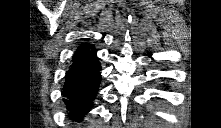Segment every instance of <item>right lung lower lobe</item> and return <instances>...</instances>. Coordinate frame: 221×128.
<instances>
[{
    "mask_svg": "<svg viewBox=\"0 0 221 128\" xmlns=\"http://www.w3.org/2000/svg\"><path fill=\"white\" fill-rule=\"evenodd\" d=\"M73 63L65 76L63 101L73 120H80L92 107V101L98 92L101 75L96 50L81 45L73 55Z\"/></svg>",
    "mask_w": 221,
    "mask_h": 128,
    "instance_id": "1",
    "label": "right lung lower lobe"
}]
</instances>
